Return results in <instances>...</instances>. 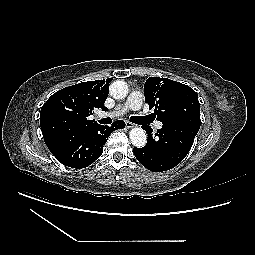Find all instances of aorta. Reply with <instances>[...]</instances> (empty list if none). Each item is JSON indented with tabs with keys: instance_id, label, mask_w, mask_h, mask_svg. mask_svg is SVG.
Returning <instances> with one entry per match:
<instances>
[{
	"instance_id": "obj_1",
	"label": "aorta",
	"mask_w": 255,
	"mask_h": 255,
	"mask_svg": "<svg viewBox=\"0 0 255 255\" xmlns=\"http://www.w3.org/2000/svg\"><path fill=\"white\" fill-rule=\"evenodd\" d=\"M128 93V86L124 81H115L110 86V94L115 99H123ZM129 138L132 144L136 147H143L147 142L146 132L140 128H132L129 132Z\"/></svg>"
}]
</instances>
